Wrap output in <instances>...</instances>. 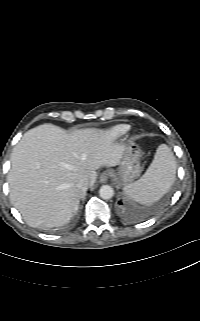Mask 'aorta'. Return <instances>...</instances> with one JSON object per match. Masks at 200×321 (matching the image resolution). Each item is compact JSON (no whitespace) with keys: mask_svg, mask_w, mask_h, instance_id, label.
Returning <instances> with one entry per match:
<instances>
[{"mask_svg":"<svg viewBox=\"0 0 200 321\" xmlns=\"http://www.w3.org/2000/svg\"><path fill=\"white\" fill-rule=\"evenodd\" d=\"M99 195L102 199L108 200L111 199L114 195V190L111 186L109 185H103L101 186L99 190Z\"/></svg>","mask_w":200,"mask_h":321,"instance_id":"762f6f07","label":"aorta"}]
</instances>
